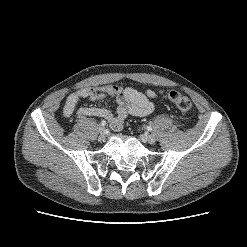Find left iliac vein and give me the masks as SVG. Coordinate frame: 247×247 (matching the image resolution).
I'll use <instances>...</instances> for the list:
<instances>
[{"mask_svg":"<svg viewBox=\"0 0 247 247\" xmlns=\"http://www.w3.org/2000/svg\"><path fill=\"white\" fill-rule=\"evenodd\" d=\"M144 138L150 144H153L156 141V139H155V137L153 135H145Z\"/></svg>","mask_w":247,"mask_h":247,"instance_id":"4c4485c4","label":"left iliac vein"}]
</instances>
